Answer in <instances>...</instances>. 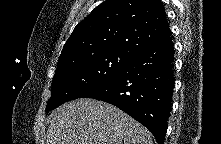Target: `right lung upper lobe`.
<instances>
[{"label": "right lung upper lobe", "instance_id": "cb5924a9", "mask_svg": "<svg viewBox=\"0 0 221 144\" xmlns=\"http://www.w3.org/2000/svg\"><path fill=\"white\" fill-rule=\"evenodd\" d=\"M170 34L160 0H106L77 24L57 67L112 50L136 55Z\"/></svg>", "mask_w": 221, "mask_h": 144}]
</instances>
